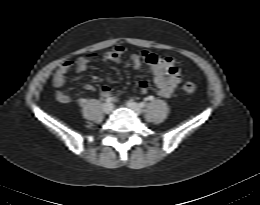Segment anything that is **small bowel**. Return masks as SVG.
<instances>
[{
    "label": "small bowel",
    "mask_w": 260,
    "mask_h": 205,
    "mask_svg": "<svg viewBox=\"0 0 260 205\" xmlns=\"http://www.w3.org/2000/svg\"><path fill=\"white\" fill-rule=\"evenodd\" d=\"M125 52L126 49L124 46L117 45L113 50L105 53L102 56V60L105 62H119ZM95 58L96 56L94 54H87L75 61L66 60L62 62L52 77L55 98L58 102L62 104L71 102V97L63 91L68 71L71 68H74L76 71H84L88 64ZM129 59L134 68H140L143 63L147 64L153 73V82L159 95L164 98L172 96L181 80L180 70L172 57H159L152 52L142 51L140 53H131ZM85 89L93 91L95 87L92 84H86ZM139 90L142 94L148 92L147 81L142 80L139 82ZM100 94L103 97L113 98L112 90L107 86L100 89ZM85 102L86 100L84 98L79 99L80 104Z\"/></svg>",
    "instance_id": "obj_1"
}]
</instances>
